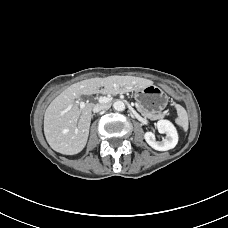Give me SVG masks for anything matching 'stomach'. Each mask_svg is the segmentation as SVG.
Returning a JSON list of instances; mask_svg holds the SVG:
<instances>
[{"label": "stomach", "instance_id": "1", "mask_svg": "<svg viewBox=\"0 0 228 228\" xmlns=\"http://www.w3.org/2000/svg\"><path fill=\"white\" fill-rule=\"evenodd\" d=\"M136 104L145 110V113H157L162 111L167 103L168 97L164 91L155 85L145 86L135 92Z\"/></svg>", "mask_w": 228, "mask_h": 228}]
</instances>
